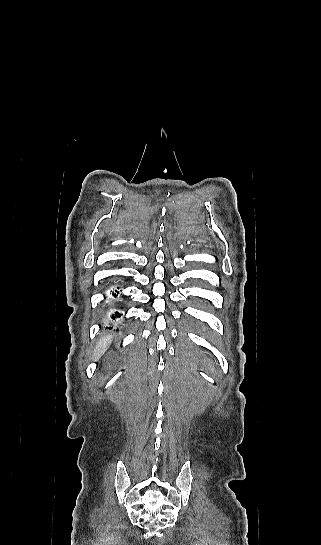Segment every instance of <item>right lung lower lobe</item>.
<instances>
[{
    "mask_svg": "<svg viewBox=\"0 0 321 545\" xmlns=\"http://www.w3.org/2000/svg\"><path fill=\"white\" fill-rule=\"evenodd\" d=\"M116 296V294H114ZM121 314L119 312H115V315H112V319H115L116 317H120Z\"/></svg>",
    "mask_w": 321,
    "mask_h": 545,
    "instance_id": "obj_1",
    "label": "right lung lower lobe"
}]
</instances>
